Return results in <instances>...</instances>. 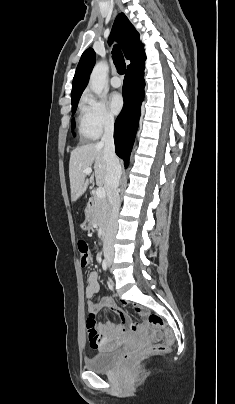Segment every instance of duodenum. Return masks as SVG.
Here are the masks:
<instances>
[{
  "label": "duodenum",
  "mask_w": 235,
  "mask_h": 404,
  "mask_svg": "<svg viewBox=\"0 0 235 404\" xmlns=\"http://www.w3.org/2000/svg\"><path fill=\"white\" fill-rule=\"evenodd\" d=\"M94 209V201L90 200L86 209L87 215L91 216ZM106 241V236H104V242Z\"/></svg>",
  "instance_id": "obj_1"
}]
</instances>
